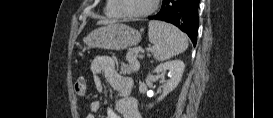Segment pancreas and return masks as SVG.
I'll return each instance as SVG.
<instances>
[{"instance_id": "obj_1", "label": "pancreas", "mask_w": 273, "mask_h": 118, "mask_svg": "<svg viewBox=\"0 0 273 118\" xmlns=\"http://www.w3.org/2000/svg\"><path fill=\"white\" fill-rule=\"evenodd\" d=\"M137 52H134L133 50H130L126 55V60L128 61V64H121V73L123 74H131L138 70V61H137Z\"/></svg>"}]
</instances>
